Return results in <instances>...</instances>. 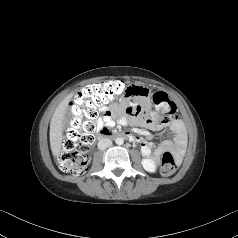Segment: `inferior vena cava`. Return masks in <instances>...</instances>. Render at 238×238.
<instances>
[{
  "label": "inferior vena cava",
  "instance_id": "1",
  "mask_svg": "<svg viewBox=\"0 0 238 238\" xmlns=\"http://www.w3.org/2000/svg\"><path fill=\"white\" fill-rule=\"evenodd\" d=\"M111 145H112V141L110 139L103 138V139L99 140L97 146L100 150H104V149L110 147Z\"/></svg>",
  "mask_w": 238,
  "mask_h": 238
}]
</instances>
